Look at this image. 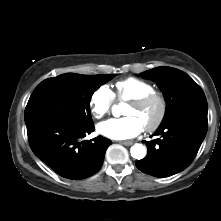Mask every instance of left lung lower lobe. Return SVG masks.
I'll return each instance as SVG.
<instances>
[{
	"mask_svg": "<svg viewBox=\"0 0 221 221\" xmlns=\"http://www.w3.org/2000/svg\"><path fill=\"white\" fill-rule=\"evenodd\" d=\"M207 111V106L193 107L162 123L153 134L160 138L145 141L147 156L136 162L137 168L155 177H168L186 169L206 136Z\"/></svg>",
	"mask_w": 221,
	"mask_h": 221,
	"instance_id": "obj_1",
	"label": "left lung lower lobe"
}]
</instances>
